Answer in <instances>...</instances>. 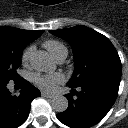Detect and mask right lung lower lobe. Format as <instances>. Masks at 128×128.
Returning a JSON list of instances; mask_svg holds the SVG:
<instances>
[{
	"label": "right lung lower lobe",
	"mask_w": 128,
	"mask_h": 128,
	"mask_svg": "<svg viewBox=\"0 0 128 128\" xmlns=\"http://www.w3.org/2000/svg\"><path fill=\"white\" fill-rule=\"evenodd\" d=\"M20 84V95L12 96L8 82H0V128H17L28 117L30 103L40 96V91L23 78L14 81Z\"/></svg>",
	"instance_id": "1"
}]
</instances>
